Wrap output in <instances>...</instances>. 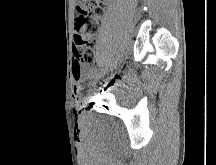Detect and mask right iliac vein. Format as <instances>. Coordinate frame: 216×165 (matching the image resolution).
Instances as JSON below:
<instances>
[{
	"label": "right iliac vein",
	"mask_w": 216,
	"mask_h": 165,
	"mask_svg": "<svg viewBox=\"0 0 216 165\" xmlns=\"http://www.w3.org/2000/svg\"><path fill=\"white\" fill-rule=\"evenodd\" d=\"M96 80H98V75H93V78L91 79L90 82L93 84L96 82Z\"/></svg>",
	"instance_id": "1"
}]
</instances>
